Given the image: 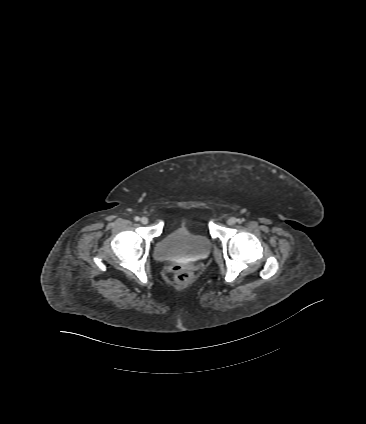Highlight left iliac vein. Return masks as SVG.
<instances>
[{
  "label": "left iliac vein",
  "instance_id": "obj_1",
  "mask_svg": "<svg viewBox=\"0 0 366 424\" xmlns=\"http://www.w3.org/2000/svg\"><path fill=\"white\" fill-rule=\"evenodd\" d=\"M237 223V219L235 217H231L227 220V224L232 226L235 225Z\"/></svg>",
  "mask_w": 366,
  "mask_h": 424
}]
</instances>
